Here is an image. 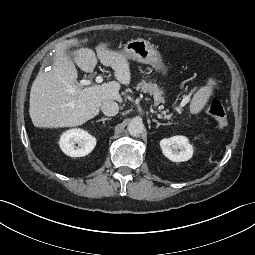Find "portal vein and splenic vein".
Instances as JSON below:
<instances>
[{"mask_svg": "<svg viewBox=\"0 0 255 255\" xmlns=\"http://www.w3.org/2000/svg\"><path fill=\"white\" fill-rule=\"evenodd\" d=\"M95 81L97 83H102L103 82V77L102 76H97ZM92 82L90 80H81L79 82V86H87V85H90Z\"/></svg>", "mask_w": 255, "mask_h": 255, "instance_id": "portal-vein-and-splenic-vein-1", "label": "portal vein and splenic vein"}]
</instances>
